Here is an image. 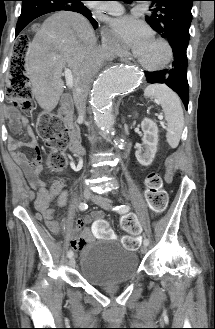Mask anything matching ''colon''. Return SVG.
Returning a JSON list of instances; mask_svg holds the SVG:
<instances>
[{
	"mask_svg": "<svg viewBox=\"0 0 215 329\" xmlns=\"http://www.w3.org/2000/svg\"><path fill=\"white\" fill-rule=\"evenodd\" d=\"M29 44H35V37L25 35L14 37L12 63L8 79L10 102L6 104L7 109L31 110V90L25 74V56ZM37 130L40 137L52 150L47 159L48 166L54 172H61L67 164L64 150L69 142L62 119L54 113H43L38 120ZM146 200L159 217L165 215L167 195L162 188L161 177L156 172H150L146 178ZM122 227L127 233L123 238L124 246L129 249L137 248L140 240L137 237L140 232V224L136 217L129 215L124 218Z\"/></svg>",
	"mask_w": 215,
	"mask_h": 329,
	"instance_id": "colon-1",
	"label": "colon"
}]
</instances>
